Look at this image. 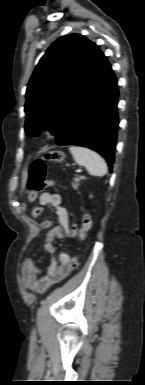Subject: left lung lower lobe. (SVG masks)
Returning a JSON list of instances; mask_svg holds the SVG:
<instances>
[{"label":"left lung lower lobe","instance_id":"left-lung-lower-lobe-1","mask_svg":"<svg viewBox=\"0 0 145 385\" xmlns=\"http://www.w3.org/2000/svg\"><path fill=\"white\" fill-rule=\"evenodd\" d=\"M117 103V79L99 50L82 91L55 134L56 143L90 148L113 164L119 124Z\"/></svg>","mask_w":145,"mask_h":385}]
</instances>
